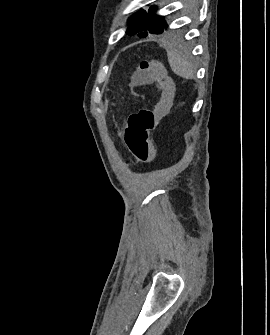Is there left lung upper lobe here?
<instances>
[{"mask_svg": "<svg viewBox=\"0 0 270 335\" xmlns=\"http://www.w3.org/2000/svg\"><path fill=\"white\" fill-rule=\"evenodd\" d=\"M156 7H151L149 12L141 10L129 18L128 35H135L138 33L140 37H146L149 34H159L167 27L166 22L162 16L155 15Z\"/></svg>", "mask_w": 270, "mask_h": 335, "instance_id": "left-lung-upper-lobe-1", "label": "left lung upper lobe"}]
</instances>
